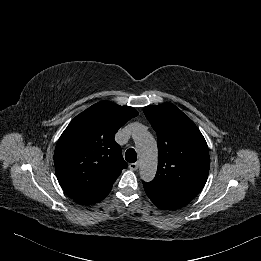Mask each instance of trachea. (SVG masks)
<instances>
[{"mask_svg":"<svg viewBox=\"0 0 261 261\" xmlns=\"http://www.w3.org/2000/svg\"><path fill=\"white\" fill-rule=\"evenodd\" d=\"M125 159L130 163L136 162L137 160L136 151L133 148H129L125 153Z\"/></svg>","mask_w":261,"mask_h":261,"instance_id":"trachea-1","label":"trachea"}]
</instances>
